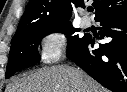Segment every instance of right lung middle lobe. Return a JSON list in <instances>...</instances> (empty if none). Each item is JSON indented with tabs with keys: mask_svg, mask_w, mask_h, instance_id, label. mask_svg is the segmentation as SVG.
<instances>
[{
	"mask_svg": "<svg viewBox=\"0 0 127 92\" xmlns=\"http://www.w3.org/2000/svg\"><path fill=\"white\" fill-rule=\"evenodd\" d=\"M70 23L58 26H35L11 41L9 61L6 68L5 78H9L23 66L40 60L37 54V47L42 37L52 32H62L68 38L67 53L76 49L86 38L87 34L82 37L73 35L77 32Z\"/></svg>",
	"mask_w": 127,
	"mask_h": 92,
	"instance_id": "right-lung-middle-lobe-1",
	"label": "right lung middle lobe"
}]
</instances>
